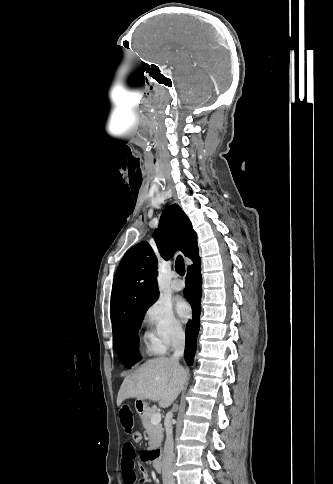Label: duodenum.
I'll use <instances>...</instances> for the list:
<instances>
[{
    "label": "duodenum",
    "mask_w": 333,
    "mask_h": 484,
    "mask_svg": "<svg viewBox=\"0 0 333 484\" xmlns=\"http://www.w3.org/2000/svg\"><path fill=\"white\" fill-rule=\"evenodd\" d=\"M152 462L153 467L156 472L161 473L162 471V462H161V452L159 449H155L152 452Z\"/></svg>",
    "instance_id": "duodenum-1"
}]
</instances>
